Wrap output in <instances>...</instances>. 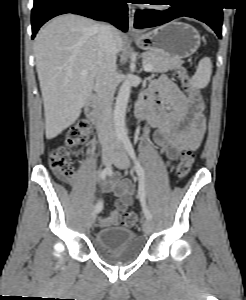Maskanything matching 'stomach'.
<instances>
[{
	"label": "stomach",
	"instance_id": "0dacf381",
	"mask_svg": "<svg viewBox=\"0 0 246 300\" xmlns=\"http://www.w3.org/2000/svg\"><path fill=\"white\" fill-rule=\"evenodd\" d=\"M136 44L147 52H154L172 62L194 54L200 46L199 32L191 25L172 21L135 37Z\"/></svg>",
	"mask_w": 246,
	"mask_h": 300
}]
</instances>
